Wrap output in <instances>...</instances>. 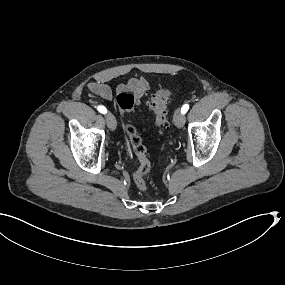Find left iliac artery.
Segmentation results:
<instances>
[{
	"mask_svg": "<svg viewBox=\"0 0 285 285\" xmlns=\"http://www.w3.org/2000/svg\"><path fill=\"white\" fill-rule=\"evenodd\" d=\"M188 109H189V105L188 104L183 105L182 108H181L182 114H185L188 111Z\"/></svg>",
	"mask_w": 285,
	"mask_h": 285,
	"instance_id": "left-iliac-artery-1",
	"label": "left iliac artery"
}]
</instances>
